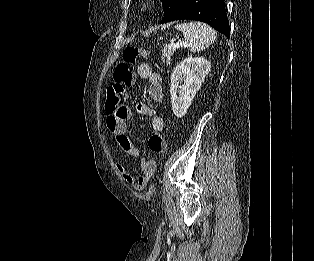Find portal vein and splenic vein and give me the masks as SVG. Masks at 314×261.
Segmentation results:
<instances>
[{
  "instance_id": "18ae733b",
  "label": "portal vein and splenic vein",
  "mask_w": 314,
  "mask_h": 261,
  "mask_svg": "<svg viewBox=\"0 0 314 261\" xmlns=\"http://www.w3.org/2000/svg\"><path fill=\"white\" fill-rule=\"evenodd\" d=\"M188 44L185 43V42H172L170 45H169V48H172V49H176V48H179V47H187Z\"/></svg>"
}]
</instances>
